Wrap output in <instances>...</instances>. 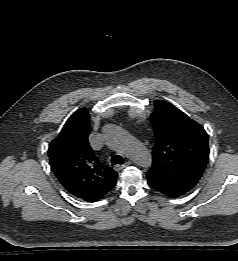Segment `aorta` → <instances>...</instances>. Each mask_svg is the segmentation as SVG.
Listing matches in <instances>:
<instances>
[{
    "mask_svg": "<svg viewBox=\"0 0 238 261\" xmlns=\"http://www.w3.org/2000/svg\"><path fill=\"white\" fill-rule=\"evenodd\" d=\"M107 138L122 154L132 159L138 165L142 167L151 166L152 158L147 149L129 136L123 129L117 126L108 127Z\"/></svg>",
    "mask_w": 238,
    "mask_h": 261,
    "instance_id": "aorta-1",
    "label": "aorta"
}]
</instances>
